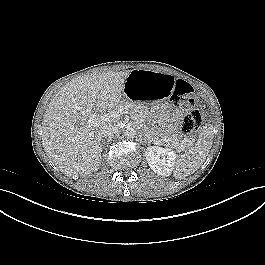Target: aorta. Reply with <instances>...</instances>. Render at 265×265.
Masks as SVG:
<instances>
[{
  "instance_id": "1",
  "label": "aorta",
  "mask_w": 265,
  "mask_h": 265,
  "mask_svg": "<svg viewBox=\"0 0 265 265\" xmlns=\"http://www.w3.org/2000/svg\"><path fill=\"white\" fill-rule=\"evenodd\" d=\"M125 137L133 139L136 135V130L132 127H127L124 132Z\"/></svg>"
}]
</instances>
